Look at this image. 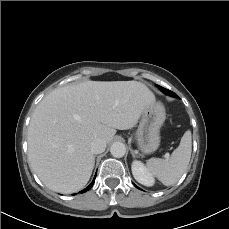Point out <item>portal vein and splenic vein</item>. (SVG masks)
<instances>
[{
    "label": "portal vein and splenic vein",
    "mask_w": 229,
    "mask_h": 229,
    "mask_svg": "<svg viewBox=\"0 0 229 229\" xmlns=\"http://www.w3.org/2000/svg\"><path fill=\"white\" fill-rule=\"evenodd\" d=\"M164 157H165L166 159H168V158H169V154L166 153V154L164 155Z\"/></svg>",
    "instance_id": "obj_1"
}]
</instances>
